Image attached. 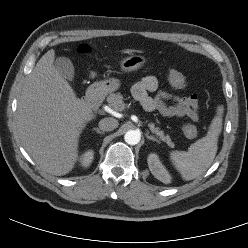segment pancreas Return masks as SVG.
<instances>
[{"label": "pancreas", "instance_id": "pancreas-1", "mask_svg": "<svg viewBox=\"0 0 248 248\" xmlns=\"http://www.w3.org/2000/svg\"><path fill=\"white\" fill-rule=\"evenodd\" d=\"M109 107L114 110L122 111L124 109L123 96L120 93H112L107 97ZM149 128L152 133H155L162 141L166 142L169 146H173L171 139L168 135H165L158 127H155L154 123L149 124Z\"/></svg>", "mask_w": 248, "mask_h": 248}]
</instances>
